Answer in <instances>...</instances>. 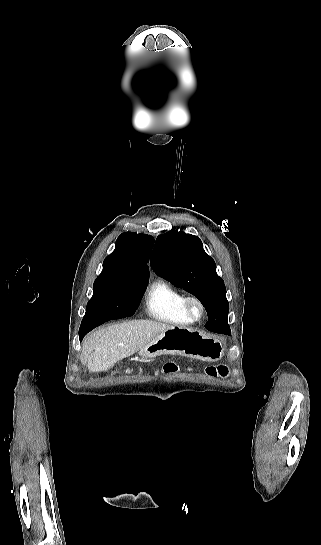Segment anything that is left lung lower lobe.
Instances as JSON below:
<instances>
[{"label": "left lung lower lobe", "mask_w": 321, "mask_h": 545, "mask_svg": "<svg viewBox=\"0 0 321 545\" xmlns=\"http://www.w3.org/2000/svg\"><path fill=\"white\" fill-rule=\"evenodd\" d=\"M208 322L205 325V328L217 332L224 333L230 330L228 325V318L223 312L219 310H208Z\"/></svg>", "instance_id": "obj_1"}]
</instances>
